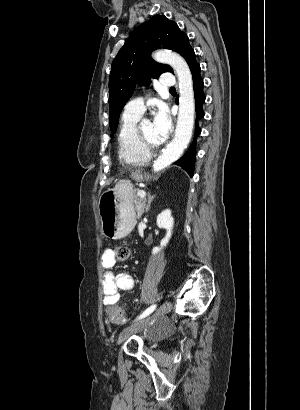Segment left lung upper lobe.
<instances>
[{
    "label": "left lung upper lobe",
    "mask_w": 300,
    "mask_h": 410,
    "mask_svg": "<svg viewBox=\"0 0 300 410\" xmlns=\"http://www.w3.org/2000/svg\"><path fill=\"white\" fill-rule=\"evenodd\" d=\"M158 48L178 52L187 63L194 53L186 33L164 15H155L136 28L111 66L109 79L111 135L117 129L119 115L132 96L136 85H148L151 78H158L164 72L173 73L170 66L152 60L151 52Z\"/></svg>",
    "instance_id": "obj_1"
}]
</instances>
